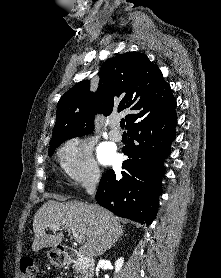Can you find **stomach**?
<instances>
[{
  "label": "stomach",
  "mask_w": 221,
  "mask_h": 278,
  "mask_svg": "<svg viewBox=\"0 0 221 278\" xmlns=\"http://www.w3.org/2000/svg\"><path fill=\"white\" fill-rule=\"evenodd\" d=\"M47 256L50 260V262L53 264V265H61L62 264V260H61V257L60 255L54 251V250H50L47 252Z\"/></svg>",
  "instance_id": "stomach-1"
}]
</instances>
